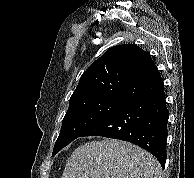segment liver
Segmentation results:
<instances>
[{
    "label": "liver",
    "instance_id": "obj_1",
    "mask_svg": "<svg viewBox=\"0 0 194 178\" xmlns=\"http://www.w3.org/2000/svg\"><path fill=\"white\" fill-rule=\"evenodd\" d=\"M153 155L129 142L104 139L79 146L61 178H162Z\"/></svg>",
    "mask_w": 194,
    "mask_h": 178
}]
</instances>
